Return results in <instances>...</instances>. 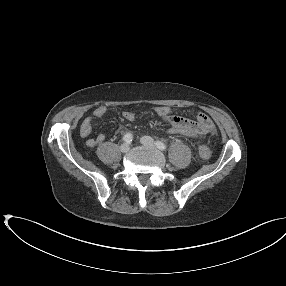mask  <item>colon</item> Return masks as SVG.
<instances>
[{"label": "colon", "instance_id": "colon-1", "mask_svg": "<svg viewBox=\"0 0 286 286\" xmlns=\"http://www.w3.org/2000/svg\"><path fill=\"white\" fill-rule=\"evenodd\" d=\"M199 155L202 159H208L211 156V151L206 145L199 147Z\"/></svg>", "mask_w": 286, "mask_h": 286}]
</instances>
